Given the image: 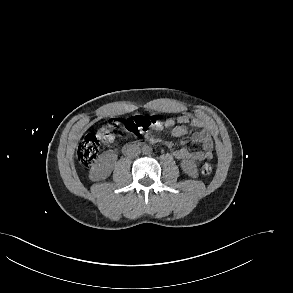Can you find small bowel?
<instances>
[{
    "mask_svg": "<svg viewBox=\"0 0 293 293\" xmlns=\"http://www.w3.org/2000/svg\"><path fill=\"white\" fill-rule=\"evenodd\" d=\"M195 128L197 131L189 137L192 144H200L201 150L194 152L184 146L174 150L173 154L178 160L187 162H201L213 158V140L209 132L205 129V123L200 118H194L187 115H181L176 118H167L155 128H171L174 137H183L188 134L189 128Z\"/></svg>",
    "mask_w": 293,
    "mask_h": 293,
    "instance_id": "c3829d8e",
    "label": "small bowel"
}]
</instances>
